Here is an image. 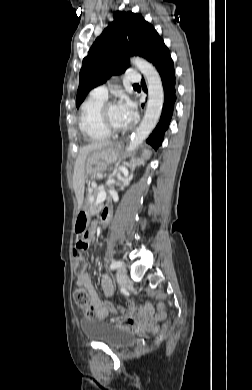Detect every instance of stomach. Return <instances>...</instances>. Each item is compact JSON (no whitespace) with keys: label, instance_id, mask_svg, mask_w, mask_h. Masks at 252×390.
Instances as JSON below:
<instances>
[{"label":"stomach","instance_id":"stomach-1","mask_svg":"<svg viewBox=\"0 0 252 390\" xmlns=\"http://www.w3.org/2000/svg\"><path fill=\"white\" fill-rule=\"evenodd\" d=\"M119 147L109 145L99 150L89 153L85 162V173L87 176H93L94 174L106 169L108 164L113 163L118 156ZM91 219L90 205L85 203L78 210L73 229L76 233L84 231Z\"/></svg>","mask_w":252,"mask_h":390}]
</instances>
